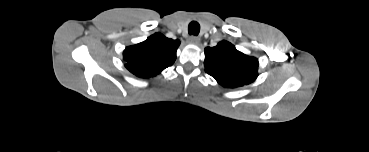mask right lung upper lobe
Segmentation results:
<instances>
[{
  "label": "right lung upper lobe",
  "mask_w": 369,
  "mask_h": 152,
  "mask_svg": "<svg viewBox=\"0 0 369 152\" xmlns=\"http://www.w3.org/2000/svg\"><path fill=\"white\" fill-rule=\"evenodd\" d=\"M179 44V40L155 33L145 41L124 50L125 67L137 77L156 76L174 63Z\"/></svg>",
  "instance_id": "cb5924a9"
}]
</instances>
